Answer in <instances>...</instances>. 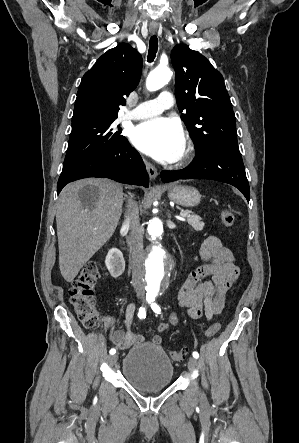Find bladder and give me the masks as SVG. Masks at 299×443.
<instances>
[{"label": "bladder", "mask_w": 299, "mask_h": 443, "mask_svg": "<svg viewBox=\"0 0 299 443\" xmlns=\"http://www.w3.org/2000/svg\"><path fill=\"white\" fill-rule=\"evenodd\" d=\"M122 375L139 391H156L172 383L174 366L162 347L141 344L126 353Z\"/></svg>", "instance_id": "1"}]
</instances>
